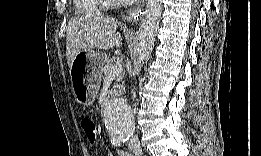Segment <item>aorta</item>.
I'll list each match as a JSON object with an SVG mask.
<instances>
[{
	"label": "aorta",
	"instance_id": "aorta-1",
	"mask_svg": "<svg viewBox=\"0 0 261 156\" xmlns=\"http://www.w3.org/2000/svg\"><path fill=\"white\" fill-rule=\"evenodd\" d=\"M162 13V0H148L140 27L137 56L140 63L150 59ZM104 123L112 138L125 141L135 129V119L124 99L111 100L104 111Z\"/></svg>",
	"mask_w": 261,
	"mask_h": 156
}]
</instances>
